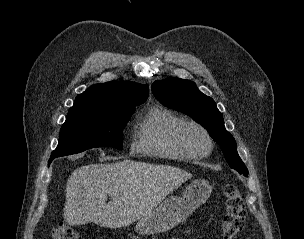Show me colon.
Here are the masks:
<instances>
[{
    "label": "colon",
    "mask_w": 304,
    "mask_h": 239,
    "mask_svg": "<svg viewBox=\"0 0 304 239\" xmlns=\"http://www.w3.org/2000/svg\"><path fill=\"white\" fill-rule=\"evenodd\" d=\"M225 216L222 223L224 239H234L244 228L246 209L239 187L229 183L224 187ZM52 239H78L77 233L64 223L52 230Z\"/></svg>",
    "instance_id": "obj_1"
}]
</instances>
